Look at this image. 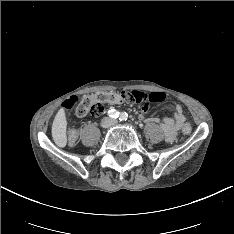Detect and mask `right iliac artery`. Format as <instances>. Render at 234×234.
Listing matches in <instances>:
<instances>
[{
    "label": "right iliac artery",
    "mask_w": 234,
    "mask_h": 234,
    "mask_svg": "<svg viewBox=\"0 0 234 234\" xmlns=\"http://www.w3.org/2000/svg\"><path fill=\"white\" fill-rule=\"evenodd\" d=\"M108 115L111 118H118L119 117V112L115 109H111L108 111Z\"/></svg>",
    "instance_id": "right-iliac-artery-1"
}]
</instances>
